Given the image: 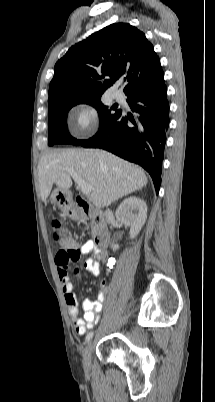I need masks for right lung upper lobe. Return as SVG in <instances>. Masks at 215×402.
Masks as SVG:
<instances>
[{"label":"right lung upper lobe","instance_id":"right-lung-upper-lobe-1","mask_svg":"<svg viewBox=\"0 0 215 402\" xmlns=\"http://www.w3.org/2000/svg\"><path fill=\"white\" fill-rule=\"evenodd\" d=\"M119 78L126 95L164 81L153 45L127 23L111 24L68 50L55 64L48 103L61 97L102 95Z\"/></svg>","mask_w":215,"mask_h":402}]
</instances>
